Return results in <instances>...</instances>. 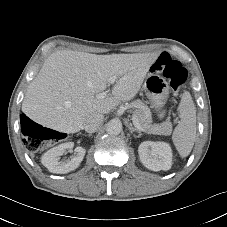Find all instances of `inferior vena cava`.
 I'll list each match as a JSON object with an SVG mask.
<instances>
[{
	"label": "inferior vena cava",
	"mask_w": 227,
	"mask_h": 227,
	"mask_svg": "<svg viewBox=\"0 0 227 227\" xmlns=\"http://www.w3.org/2000/svg\"><path fill=\"white\" fill-rule=\"evenodd\" d=\"M104 119L102 113H95L88 116L84 122L83 129L88 133H94L101 126Z\"/></svg>",
	"instance_id": "602c4592"
}]
</instances>
